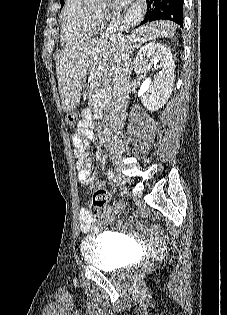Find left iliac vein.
<instances>
[{
    "instance_id": "obj_1",
    "label": "left iliac vein",
    "mask_w": 227,
    "mask_h": 315,
    "mask_svg": "<svg viewBox=\"0 0 227 315\" xmlns=\"http://www.w3.org/2000/svg\"><path fill=\"white\" fill-rule=\"evenodd\" d=\"M124 184V181L122 180L121 177H118V185H123Z\"/></svg>"
}]
</instances>
